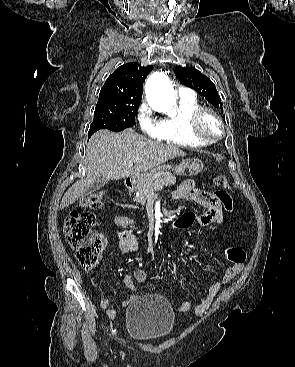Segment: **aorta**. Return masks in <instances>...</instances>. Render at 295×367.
<instances>
[{"instance_id": "obj_1", "label": "aorta", "mask_w": 295, "mask_h": 367, "mask_svg": "<svg viewBox=\"0 0 295 367\" xmlns=\"http://www.w3.org/2000/svg\"><path fill=\"white\" fill-rule=\"evenodd\" d=\"M145 92L147 102L154 110L171 117L176 115V94L165 75H150L146 81Z\"/></svg>"}]
</instances>
